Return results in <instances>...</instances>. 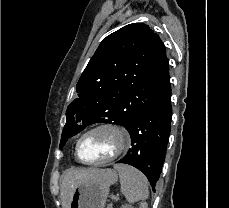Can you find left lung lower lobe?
<instances>
[{"instance_id": "0a47b994", "label": "left lung lower lobe", "mask_w": 229, "mask_h": 208, "mask_svg": "<svg viewBox=\"0 0 229 208\" xmlns=\"http://www.w3.org/2000/svg\"><path fill=\"white\" fill-rule=\"evenodd\" d=\"M171 87L140 111L126 128L132 146L119 163L142 171L151 186L159 180L171 131Z\"/></svg>"}]
</instances>
